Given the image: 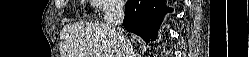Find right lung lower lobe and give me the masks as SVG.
I'll return each mask as SVG.
<instances>
[{"instance_id":"right-lung-lower-lobe-1","label":"right lung lower lobe","mask_w":249,"mask_h":57,"mask_svg":"<svg viewBox=\"0 0 249 57\" xmlns=\"http://www.w3.org/2000/svg\"><path fill=\"white\" fill-rule=\"evenodd\" d=\"M168 11L165 0H129L125 5L123 25L145 42L153 41L157 37L163 16Z\"/></svg>"}]
</instances>
